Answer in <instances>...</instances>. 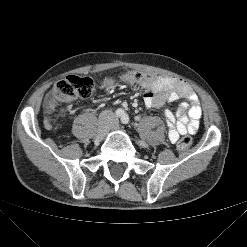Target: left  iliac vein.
Segmentation results:
<instances>
[{
  "label": "left iliac vein",
  "mask_w": 247,
  "mask_h": 247,
  "mask_svg": "<svg viewBox=\"0 0 247 247\" xmlns=\"http://www.w3.org/2000/svg\"><path fill=\"white\" fill-rule=\"evenodd\" d=\"M117 126H118V124H117V122H115V123L113 124V128H117Z\"/></svg>",
  "instance_id": "1"
}]
</instances>
